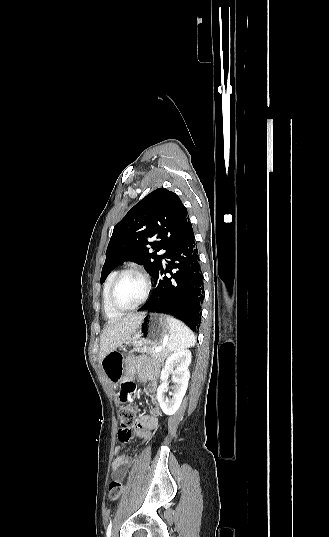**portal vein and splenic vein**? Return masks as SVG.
<instances>
[{
    "instance_id": "18ae733b",
    "label": "portal vein and splenic vein",
    "mask_w": 329,
    "mask_h": 537,
    "mask_svg": "<svg viewBox=\"0 0 329 537\" xmlns=\"http://www.w3.org/2000/svg\"><path fill=\"white\" fill-rule=\"evenodd\" d=\"M155 350H156L157 352L162 351V346H157V347H155Z\"/></svg>"
}]
</instances>
